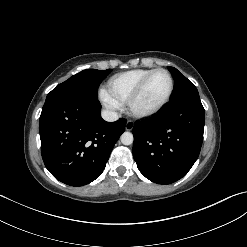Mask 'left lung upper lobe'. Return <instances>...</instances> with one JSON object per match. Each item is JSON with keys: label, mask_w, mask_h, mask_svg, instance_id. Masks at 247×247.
<instances>
[{"label": "left lung upper lobe", "mask_w": 247, "mask_h": 247, "mask_svg": "<svg viewBox=\"0 0 247 247\" xmlns=\"http://www.w3.org/2000/svg\"><path fill=\"white\" fill-rule=\"evenodd\" d=\"M175 80V91L171 98V102L187 97L199 96L194 84L182 75L176 68L168 67Z\"/></svg>", "instance_id": "5c2ea615"}]
</instances>
